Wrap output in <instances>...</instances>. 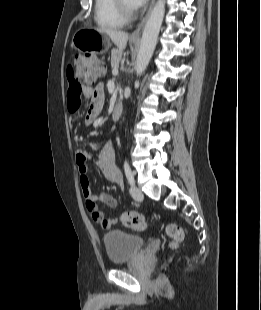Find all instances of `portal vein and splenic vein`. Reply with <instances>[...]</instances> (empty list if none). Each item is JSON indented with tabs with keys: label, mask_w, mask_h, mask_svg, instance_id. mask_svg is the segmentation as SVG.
Instances as JSON below:
<instances>
[{
	"label": "portal vein and splenic vein",
	"mask_w": 261,
	"mask_h": 310,
	"mask_svg": "<svg viewBox=\"0 0 261 310\" xmlns=\"http://www.w3.org/2000/svg\"><path fill=\"white\" fill-rule=\"evenodd\" d=\"M112 74L113 75H118V68H113Z\"/></svg>",
	"instance_id": "obj_1"
}]
</instances>
